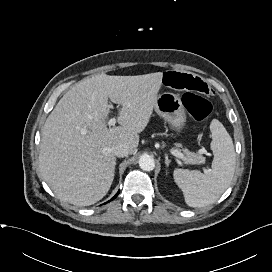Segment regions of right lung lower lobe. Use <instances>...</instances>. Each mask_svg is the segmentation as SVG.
<instances>
[{
    "label": "right lung lower lobe",
    "instance_id": "1",
    "mask_svg": "<svg viewBox=\"0 0 272 272\" xmlns=\"http://www.w3.org/2000/svg\"><path fill=\"white\" fill-rule=\"evenodd\" d=\"M118 194H119V191H118V193L110 201H112L113 199H115ZM110 201H108V202H110Z\"/></svg>",
    "mask_w": 272,
    "mask_h": 272
}]
</instances>
